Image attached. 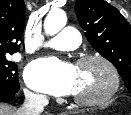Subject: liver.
<instances>
[{"label":"liver","instance_id":"liver-1","mask_svg":"<svg viewBox=\"0 0 131 115\" xmlns=\"http://www.w3.org/2000/svg\"><path fill=\"white\" fill-rule=\"evenodd\" d=\"M18 110L13 107L0 104V115H18Z\"/></svg>","mask_w":131,"mask_h":115}]
</instances>
